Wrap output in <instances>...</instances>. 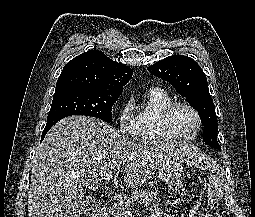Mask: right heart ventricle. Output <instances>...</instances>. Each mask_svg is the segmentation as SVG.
Instances as JSON below:
<instances>
[{
    "label": "right heart ventricle",
    "mask_w": 255,
    "mask_h": 217,
    "mask_svg": "<svg viewBox=\"0 0 255 217\" xmlns=\"http://www.w3.org/2000/svg\"><path fill=\"white\" fill-rule=\"evenodd\" d=\"M172 102V97L163 88H149L142 103L137 107L135 137L142 141L170 140L162 129L161 113Z\"/></svg>",
    "instance_id": "right-heart-ventricle-1"
}]
</instances>
